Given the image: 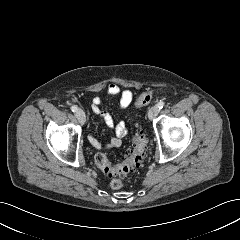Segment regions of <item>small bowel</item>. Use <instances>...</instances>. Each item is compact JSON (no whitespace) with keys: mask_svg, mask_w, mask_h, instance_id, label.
Instances as JSON below:
<instances>
[{"mask_svg":"<svg viewBox=\"0 0 240 240\" xmlns=\"http://www.w3.org/2000/svg\"><path fill=\"white\" fill-rule=\"evenodd\" d=\"M106 91L110 96L119 98V106L121 109L127 108L133 100V94L129 89H122L115 83L108 84ZM101 104L102 99L99 96L93 97L91 101L92 112L99 116L104 124L114 129V136L108 142L103 143L90 134L88 136L89 142L97 150L120 147L123 137L128 133V127L123 121L115 124L111 114L104 111L101 108Z\"/></svg>","mask_w":240,"mask_h":240,"instance_id":"1","label":"small bowel"}]
</instances>
